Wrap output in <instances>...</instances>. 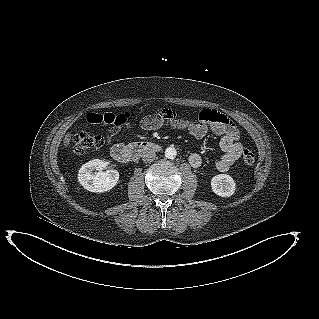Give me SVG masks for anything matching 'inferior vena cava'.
I'll list each match as a JSON object with an SVG mask.
<instances>
[{
	"mask_svg": "<svg viewBox=\"0 0 319 319\" xmlns=\"http://www.w3.org/2000/svg\"><path fill=\"white\" fill-rule=\"evenodd\" d=\"M156 157V153L153 150H146L142 153V160L144 162H152Z\"/></svg>",
	"mask_w": 319,
	"mask_h": 319,
	"instance_id": "obj_1",
	"label": "inferior vena cava"
}]
</instances>
